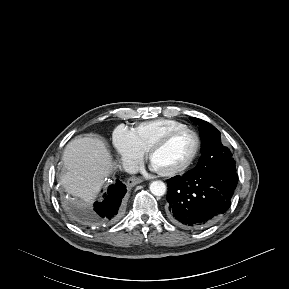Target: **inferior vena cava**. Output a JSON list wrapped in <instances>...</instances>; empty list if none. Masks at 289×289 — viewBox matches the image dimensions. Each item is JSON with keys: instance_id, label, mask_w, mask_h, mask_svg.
<instances>
[{"instance_id": "602c4592", "label": "inferior vena cava", "mask_w": 289, "mask_h": 289, "mask_svg": "<svg viewBox=\"0 0 289 289\" xmlns=\"http://www.w3.org/2000/svg\"><path fill=\"white\" fill-rule=\"evenodd\" d=\"M123 170L129 174H135L139 170L138 164L133 160H125L122 164Z\"/></svg>"}]
</instances>
